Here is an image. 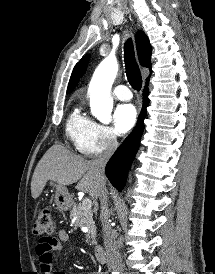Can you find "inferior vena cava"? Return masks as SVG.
<instances>
[{"label":"inferior vena cava","mask_w":215,"mask_h":274,"mask_svg":"<svg viewBox=\"0 0 215 274\" xmlns=\"http://www.w3.org/2000/svg\"><path fill=\"white\" fill-rule=\"evenodd\" d=\"M118 147L115 136H111L107 143L105 151L91 160V165L100 178L99 200L101 205L100 220L102 223L103 240L106 250L107 266L110 271L122 270V259L119 253L115 235L111 229L108 209V191L104 178L106 163Z\"/></svg>","instance_id":"1"}]
</instances>
